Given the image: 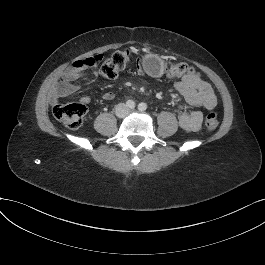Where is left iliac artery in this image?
I'll return each mask as SVG.
<instances>
[{
  "instance_id": "obj_1",
  "label": "left iliac artery",
  "mask_w": 265,
  "mask_h": 265,
  "mask_svg": "<svg viewBox=\"0 0 265 265\" xmlns=\"http://www.w3.org/2000/svg\"><path fill=\"white\" fill-rule=\"evenodd\" d=\"M138 109L140 110V111H145L146 109H147V104L146 103H140L139 105H138Z\"/></svg>"
}]
</instances>
